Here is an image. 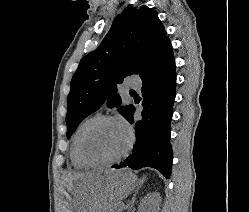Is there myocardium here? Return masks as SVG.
Returning <instances> with one entry per match:
<instances>
[{
  "label": "myocardium",
  "mask_w": 249,
  "mask_h": 212,
  "mask_svg": "<svg viewBox=\"0 0 249 212\" xmlns=\"http://www.w3.org/2000/svg\"><path fill=\"white\" fill-rule=\"evenodd\" d=\"M104 122H114L122 126L128 136V142L126 148L123 150V152L118 155L117 157L108 160V161H102V162H95L89 160L83 151V144L85 139L87 138L88 134L91 132L92 129H94L96 126H98L101 123ZM134 144V133L131 128V126L122 118L118 116H112V115H101L95 117L93 120H91L82 130L76 144V153L79 161L85 165L86 167H92V168H102V167H109L112 166L118 162H120L122 159L128 156L130 151L133 148Z\"/></svg>",
  "instance_id": "myocardium-1"
}]
</instances>
